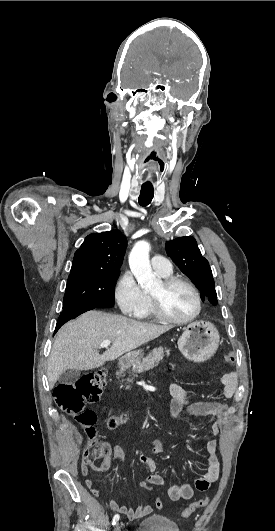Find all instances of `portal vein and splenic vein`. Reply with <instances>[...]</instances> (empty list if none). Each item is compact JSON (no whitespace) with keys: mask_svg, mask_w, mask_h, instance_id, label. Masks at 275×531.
Returning <instances> with one entry per match:
<instances>
[{"mask_svg":"<svg viewBox=\"0 0 275 531\" xmlns=\"http://www.w3.org/2000/svg\"><path fill=\"white\" fill-rule=\"evenodd\" d=\"M109 345H111V341H103V343H100L99 349H108Z\"/></svg>","mask_w":275,"mask_h":531,"instance_id":"18ae733b","label":"portal vein and splenic vein"}]
</instances>
